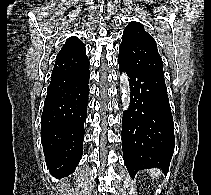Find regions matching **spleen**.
<instances>
[{
  "instance_id": "spleen-1",
  "label": "spleen",
  "mask_w": 211,
  "mask_h": 195,
  "mask_svg": "<svg viewBox=\"0 0 211 195\" xmlns=\"http://www.w3.org/2000/svg\"><path fill=\"white\" fill-rule=\"evenodd\" d=\"M149 173H150L151 177L156 178L161 174V171L158 169H151L149 171Z\"/></svg>"
}]
</instances>
